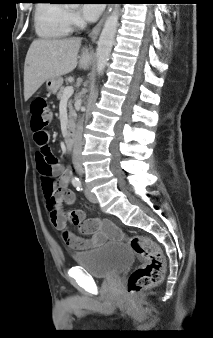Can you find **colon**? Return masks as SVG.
Segmentation results:
<instances>
[{"mask_svg":"<svg viewBox=\"0 0 213 338\" xmlns=\"http://www.w3.org/2000/svg\"><path fill=\"white\" fill-rule=\"evenodd\" d=\"M30 110L34 141L42 148V151L37 155V170L41 177L44 178L43 189L46 208L50 221L53 223L58 210V204L55 200L57 184L53 178L55 171L53 165L58 164V162L45 156L43 150L49 141V134L45 128L52 123L53 117L43 98L34 99L31 102ZM70 218L75 223V218L72 214H70ZM94 227H99V225L94 224ZM127 242L131 249L141 258V264L128 278V292L134 294L143 289L154 287L162 280L165 270V260L159 245L144 235L129 236Z\"/></svg>","mask_w":213,"mask_h":338,"instance_id":"1","label":"colon"}]
</instances>
